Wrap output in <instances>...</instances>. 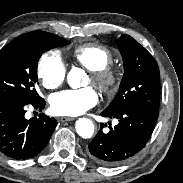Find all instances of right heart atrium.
Returning <instances> with one entry per match:
<instances>
[{
	"label": "right heart atrium",
	"instance_id": "d8ad5b80",
	"mask_svg": "<svg viewBox=\"0 0 183 183\" xmlns=\"http://www.w3.org/2000/svg\"><path fill=\"white\" fill-rule=\"evenodd\" d=\"M37 77L47 89L59 87L66 77V66L56 51L45 52L37 64Z\"/></svg>",
	"mask_w": 183,
	"mask_h": 183
}]
</instances>
